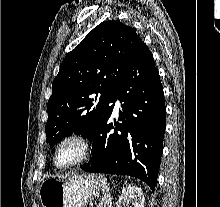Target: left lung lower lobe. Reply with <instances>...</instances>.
I'll list each match as a JSON object with an SVG mask.
<instances>
[{"label":"left lung lower lobe","instance_id":"obj_1","mask_svg":"<svg viewBox=\"0 0 220 207\" xmlns=\"http://www.w3.org/2000/svg\"><path fill=\"white\" fill-rule=\"evenodd\" d=\"M121 123L110 122L116 99ZM108 113L97 125L92 157L81 167L92 173L129 175L155 190L166 129L164 93L158 69L142 42L123 73Z\"/></svg>","mask_w":220,"mask_h":207}]
</instances>
